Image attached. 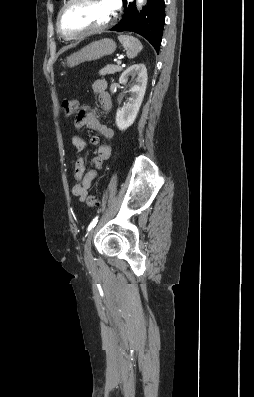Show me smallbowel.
I'll return each mask as SVG.
<instances>
[{
  "label": "small bowel",
  "instance_id": "1",
  "mask_svg": "<svg viewBox=\"0 0 254 397\" xmlns=\"http://www.w3.org/2000/svg\"><path fill=\"white\" fill-rule=\"evenodd\" d=\"M107 87L108 83L104 79L95 80L92 84V89L98 95L101 107L109 111L112 107V99L107 92ZM74 126L77 133L72 136L71 142L79 151H84L87 148V143L81 136L83 128L96 130L105 138H111L113 136L112 129L98 120L95 110L89 105H84L80 108L74 120ZM90 143L97 146V155L92 158L91 167L89 169L86 168L83 155L79 156L75 162L74 177L76 183L72 188V194L81 201L85 200L88 190L92 187L104 161L111 156L110 146L107 143L101 142L99 137L93 136Z\"/></svg>",
  "mask_w": 254,
  "mask_h": 397
}]
</instances>
